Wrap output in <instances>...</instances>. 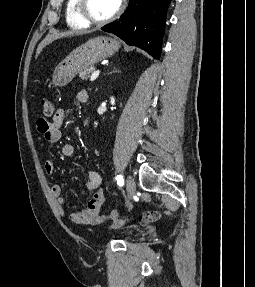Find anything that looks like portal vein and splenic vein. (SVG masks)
I'll return each instance as SVG.
<instances>
[{"label":"portal vein and splenic vein","mask_w":255,"mask_h":287,"mask_svg":"<svg viewBox=\"0 0 255 287\" xmlns=\"http://www.w3.org/2000/svg\"><path fill=\"white\" fill-rule=\"evenodd\" d=\"M99 74H100L99 70H97V72H93L92 76H90L91 82H94V80L98 78Z\"/></svg>","instance_id":"18ae733b"}]
</instances>
